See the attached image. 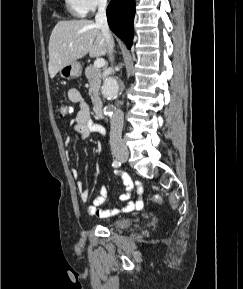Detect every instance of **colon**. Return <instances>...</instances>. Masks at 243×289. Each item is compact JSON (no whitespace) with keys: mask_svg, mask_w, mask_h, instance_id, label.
I'll use <instances>...</instances> for the list:
<instances>
[{"mask_svg":"<svg viewBox=\"0 0 243 289\" xmlns=\"http://www.w3.org/2000/svg\"><path fill=\"white\" fill-rule=\"evenodd\" d=\"M57 113L59 117L63 118L68 116L71 113V108L66 104L60 103L57 105ZM155 201H160V197L158 195L154 196Z\"/></svg>","mask_w":243,"mask_h":289,"instance_id":"colon-1","label":"colon"}]
</instances>
